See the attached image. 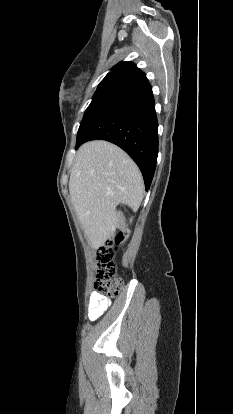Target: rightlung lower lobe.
I'll list each match as a JSON object with an SVG mask.
<instances>
[{
	"label": "right lung lower lobe",
	"mask_w": 233,
	"mask_h": 414,
	"mask_svg": "<svg viewBox=\"0 0 233 414\" xmlns=\"http://www.w3.org/2000/svg\"><path fill=\"white\" fill-rule=\"evenodd\" d=\"M96 139L112 142L127 152L149 189L157 162L158 122L152 88L145 76L88 111L78 130L76 148Z\"/></svg>",
	"instance_id": "1"
}]
</instances>
